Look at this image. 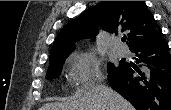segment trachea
Listing matches in <instances>:
<instances>
[{"label": "trachea", "instance_id": "1", "mask_svg": "<svg viewBox=\"0 0 171 110\" xmlns=\"http://www.w3.org/2000/svg\"><path fill=\"white\" fill-rule=\"evenodd\" d=\"M125 41H126V37H123V38H122V42H125Z\"/></svg>", "mask_w": 171, "mask_h": 110}]
</instances>
